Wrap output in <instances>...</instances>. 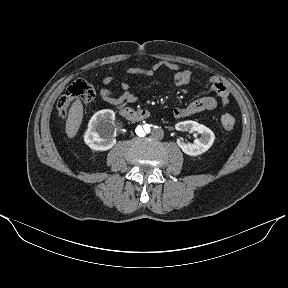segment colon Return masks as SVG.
I'll list each match as a JSON object with an SVG mask.
<instances>
[{
	"instance_id": "1",
	"label": "colon",
	"mask_w": 288,
	"mask_h": 288,
	"mask_svg": "<svg viewBox=\"0 0 288 288\" xmlns=\"http://www.w3.org/2000/svg\"><path fill=\"white\" fill-rule=\"evenodd\" d=\"M96 96L95 87L85 81L76 80L65 91V93L59 98L57 103V109L61 117H66L68 109L72 102H90ZM221 125L224 130L231 131L235 125V119L230 114H223L221 116Z\"/></svg>"
}]
</instances>
